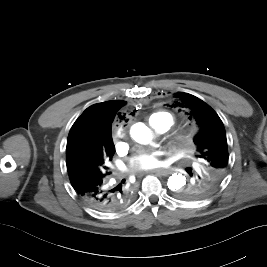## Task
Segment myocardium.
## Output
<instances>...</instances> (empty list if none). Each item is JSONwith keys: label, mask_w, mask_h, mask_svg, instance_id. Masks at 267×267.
<instances>
[{"label": "myocardium", "mask_w": 267, "mask_h": 267, "mask_svg": "<svg viewBox=\"0 0 267 267\" xmlns=\"http://www.w3.org/2000/svg\"><path fill=\"white\" fill-rule=\"evenodd\" d=\"M191 141L192 137L189 133H179L170 138L168 147L172 152H184L189 148Z\"/></svg>", "instance_id": "1"}]
</instances>
